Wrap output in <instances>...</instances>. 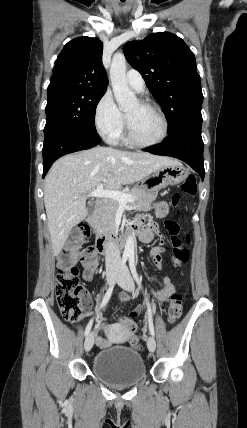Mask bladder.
<instances>
[{
	"instance_id": "obj_1",
	"label": "bladder",
	"mask_w": 247,
	"mask_h": 428,
	"mask_svg": "<svg viewBox=\"0 0 247 428\" xmlns=\"http://www.w3.org/2000/svg\"><path fill=\"white\" fill-rule=\"evenodd\" d=\"M92 371L97 378L112 386L132 385L146 375L141 354L126 346L100 350L93 359Z\"/></svg>"
}]
</instances>
